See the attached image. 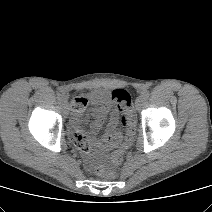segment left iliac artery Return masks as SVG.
<instances>
[{"mask_svg":"<svg viewBox=\"0 0 212 212\" xmlns=\"http://www.w3.org/2000/svg\"><path fill=\"white\" fill-rule=\"evenodd\" d=\"M149 95H150V92H149L148 90H145V91L142 92V96H143L145 99L148 98Z\"/></svg>","mask_w":212,"mask_h":212,"instance_id":"1","label":"left iliac artery"}]
</instances>
